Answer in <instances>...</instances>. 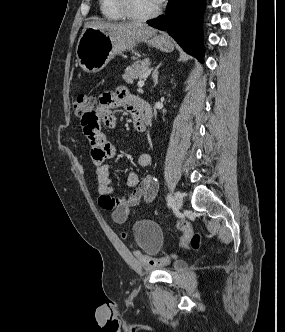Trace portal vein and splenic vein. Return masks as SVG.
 I'll use <instances>...</instances> for the list:
<instances>
[{
  "instance_id": "portal-vein-and-splenic-vein-1",
  "label": "portal vein and splenic vein",
  "mask_w": 285,
  "mask_h": 332,
  "mask_svg": "<svg viewBox=\"0 0 285 332\" xmlns=\"http://www.w3.org/2000/svg\"><path fill=\"white\" fill-rule=\"evenodd\" d=\"M147 77H148V73H146V74L144 75L143 79H140V80L138 81L137 86H138L139 89L142 88V87L144 86L145 79H146Z\"/></svg>"
}]
</instances>
